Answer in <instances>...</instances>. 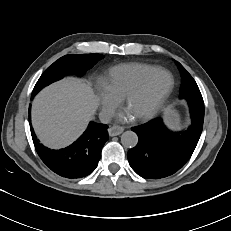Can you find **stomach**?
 <instances>
[{
    "label": "stomach",
    "mask_w": 231,
    "mask_h": 231,
    "mask_svg": "<svg viewBox=\"0 0 231 231\" xmlns=\"http://www.w3.org/2000/svg\"><path fill=\"white\" fill-rule=\"evenodd\" d=\"M164 120L166 124L172 129L180 127V116L173 107H167L164 112Z\"/></svg>",
    "instance_id": "1"
}]
</instances>
